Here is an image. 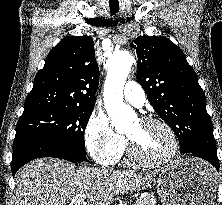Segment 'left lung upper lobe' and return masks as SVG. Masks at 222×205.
Returning a JSON list of instances; mask_svg holds the SVG:
<instances>
[{"label": "left lung upper lobe", "instance_id": "1", "mask_svg": "<svg viewBox=\"0 0 222 205\" xmlns=\"http://www.w3.org/2000/svg\"><path fill=\"white\" fill-rule=\"evenodd\" d=\"M131 46L138 56L137 81L154 110L176 133L180 151L216 154L205 94L182 50L158 36L138 37Z\"/></svg>", "mask_w": 222, "mask_h": 205}]
</instances>
